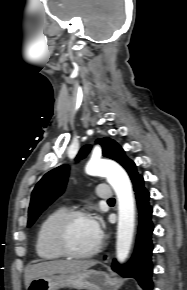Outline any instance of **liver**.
I'll use <instances>...</instances> for the list:
<instances>
[{
	"mask_svg": "<svg viewBox=\"0 0 187 290\" xmlns=\"http://www.w3.org/2000/svg\"><path fill=\"white\" fill-rule=\"evenodd\" d=\"M96 261H66L54 260L29 265L25 270V286L28 288L33 279L58 273H74L96 265Z\"/></svg>",
	"mask_w": 187,
	"mask_h": 290,
	"instance_id": "liver-1",
	"label": "liver"
}]
</instances>
